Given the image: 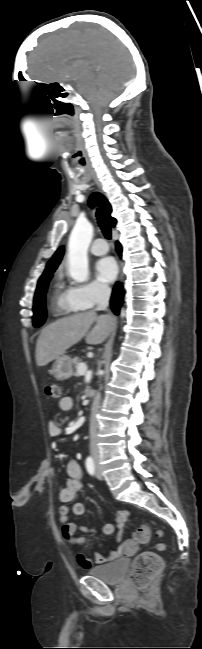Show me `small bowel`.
Masks as SVG:
<instances>
[{"label": "small bowel", "mask_w": 202, "mask_h": 649, "mask_svg": "<svg viewBox=\"0 0 202 649\" xmlns=\"http://www.w3.org/2000/svg\"><path fill=\"white\" fill-rule=\"evenodd\" d=\"M58 406L60 410L64 412L71 411L73 408V399L68 396L63 397L60 399ZM48 432L52 438H60L64 435V430L52 420L48 424ZM66 473L68 476L66 485L59 493V500L62 502L59 509L62 535L70 545L80 546L86 542V535L94 534L96 530L79 526L77 523L69 520L71 514L83 515L85 512V506L82 503H72L75 500L77 493L82 489L83 472L78 461L71 460L66 465ZM129 516L130 513L128 510H120L117 513L115 522L113 524H106L103 527V533L106 535L115 534L116 540L121 542L123 537V528ZM78 531L82 534L77 535ZM121 548L122 545L117 549L110 550L106 553L94 552L90 557L85 556L81 552H77L76 560L83 569H90L94 564H103L123 556L124 554Z\"/></svg>", "instance_id": "obj_1"}]
</instances>
